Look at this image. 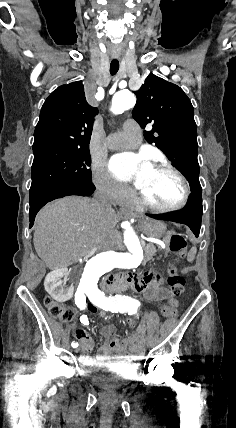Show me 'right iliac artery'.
<instances>
[{"label": "right iliac artery", "instance_id": "1", "mask_svg": "<svg viewBox=\"0 0 236 428\" xmlns=\"http://www.w3.org/2000/svg\"><path fill=\"white\" fill-rule=\"evenodd\" d=\"M75 304L80 308V310H84L86 308V297L84 292L75 293ZM71 346L76 348L78 347V343L72 342Z\"/></svg>", "mask_w": 236, "mask_h": 428}]
</instances>
